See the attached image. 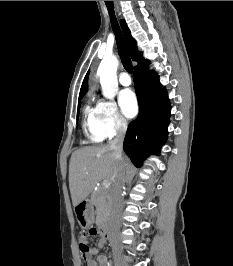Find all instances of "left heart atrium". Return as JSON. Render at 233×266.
Listing matches in <instances>:
<instances>
[{"instance_id":"39dd6f15","label":"left heart atrium","mask_w":233,"mask_h":266,"mask_svg":"<svg viewBox=\"0 0 233 266\" xmlns=\"http://www.w3.org/2000/svg\"><path fill=\"white\" fill-rule=\"evenodd\" d=\"M119 105L122 113L128 117H134L138 112L137 98L133 91L125 89L119 94Z\"/></svg>"}]
</instances>
